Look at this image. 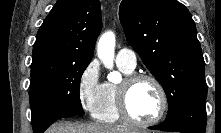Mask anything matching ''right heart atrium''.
<instances>
[{"label":"right heart atrium","instance_id":"obj_1","mask_svg":"<svg viewBox=\"0 0 221 133\" xmlns=\"http://www.w3.org/2000/svg\"><path fill=\"white\" fill-rule=\"evenodd\" d=\"M102 87L99 64L96 60H92L83 69L78 80V98L81 106L88 113L95 112Z\"/></svg>","mask_w":221,"mask_h":133}]
</instances>
